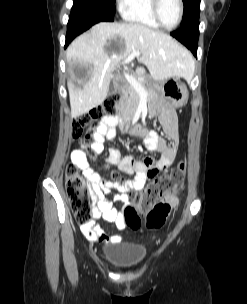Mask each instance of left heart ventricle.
<instances>
[{
  "instance_id": "1",
  "label": "left heart ventricle",
  "mask_w": 247,
  "mask_h": 304,
  "mask_svg": "<svg viewBox=\"0 0 247 304\" xmlns=\"http://www.w3.org/2000/svg\"><path fill=\"white\" fill-rule=\"evenodd\" d=\"M179 17L178 0H161L160 18L162 23L167 27H172L176 24Z\"/></svg>"
}]
</instances>
